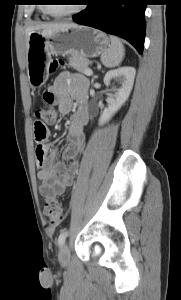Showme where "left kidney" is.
I'll list each match as a JSON object with an SVG mask.
<instances>
[{
  "label": "left kidney",
  "mask_w": 181,
  "mask_h": 300,
  "mask_svg": "<svg viewBox=\"0 0 181 300\" xmlns=\"http://www.w3.org/2000/svg\"><path fill=\"white\" fill-rule=\"evenodd\" d=\"M136 70L133 67H121L111 70L104 77V84L108 87L112 80H115L120 86L113 89V94L107 98V107L99 118V124H104L121 108L128 99L135 78Z\"/></svg>",
  "instance_id": "obj_1"
}]
</instances>
